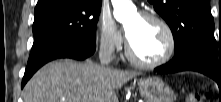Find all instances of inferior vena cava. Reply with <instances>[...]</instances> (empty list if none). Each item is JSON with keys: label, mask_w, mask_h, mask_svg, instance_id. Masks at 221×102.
Masks as SVG:
<instances>
[{"label": "inferior vena cava", "mask_w": 221, "mask_h": 102, "mask_svg": "<svg viewBox=\"0 0 221 102\" xmlns=\"http://www.w3.org/2000/svg\"><path fill=\"white\" fill-rule=\"evenodd\" d=\"M113 41L112 38L102 40L99 50V60L101 65H108L112 61Z\"/></svg>", "instance_id": "602c4592"}]
</instances>
